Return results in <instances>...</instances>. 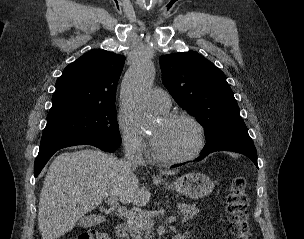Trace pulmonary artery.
<instances>
[{"instance_id": "obj_1", "label": "pulmonary artery", "mask_w": 304, "mask_h": 239, "mask_svg": "<svg viewBox=\"0 0 304 239\" xmlns=\"http://www.w3.org/2000/svg\"><path fill=\"white\" fill-rule=\"evenodd\" d=\"M148 98L151 105L159 111L166 112L171 107L170 95L160 88H153L149 92Z\"/></svg>"}]
</instances>
